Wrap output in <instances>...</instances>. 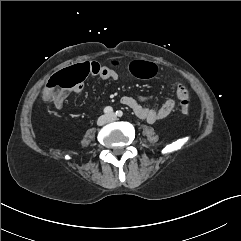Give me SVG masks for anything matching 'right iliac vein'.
Here are the masks:
<instances>
[{
	"label": "right iliac vein",
	"mask_w": 241,
	"mask_h": 241,
	"mask_svg": "<svg viewBox=\"0 0 241 241\" xmlns=\"http://www.w3.org/2000/svg\"><path fill=\"white\" fill-rule=\"evenodd\" d=\"M109 118L107 116H101L98 121H97V124L99 126H102L104 124H106L108 122Z\"/></svg>",
	"instance_id": "obj_1"
}]
</instances>
